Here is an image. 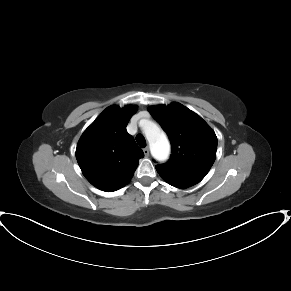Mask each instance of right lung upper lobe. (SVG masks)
<instances>
[{"mask_svg": "<svg viewBox=\"0 0 291 291\" xmlns=\"http://www.w3.org/2000/svg\"><path fill=\"white\" fill-rule=\"evenodd\" d=\"M137 106L106 108L84 131L76 148V158L86 179L95 187L113 192L129 183L144 157L126 130Z\"/></svg>", "mask_w": 291, "mask_h": 291, "instance_id": "right-lung-upper-lobe-1", "label": "right lung upper lobe"}]
</instances>
